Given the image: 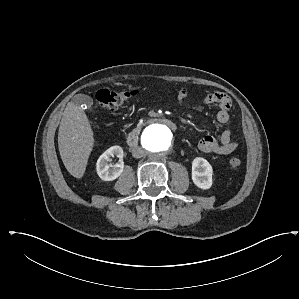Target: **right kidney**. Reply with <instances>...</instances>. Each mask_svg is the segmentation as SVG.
Returning <instances> with one entry per match:
<instances>
[{"label":"right kidney","mask_w":299,"mask_h":299,"mask_svg":"<svg viewBox=\"0 0 299 299\" xmlns=\"http://www.w3.org/2000/svg\"><path fill=\"white\" fill-rule=\"evenodd\" d=\"M118 157L120 160L115 165H110L111 157ZM124 152L120 146H112L107 149L97 160L96 169L98 176L104 181H112L118 178L124 169Z\"/></svg>","instance_id":"ca27d5eb"}]
</instances>
